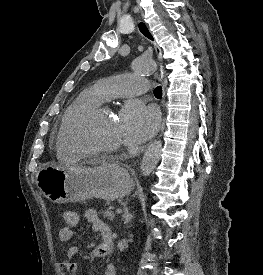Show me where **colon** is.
<instances>
[{"mask_svg":"<svg viewBox=\"0 0 263 275\" xmlns=\"http://www.w3.org/2000/svg\"><path fill=\"white\" fill-rule=\"evenodd\" d=\"M63 219L69 226H76L79 221L78 214L73 210H67L63 213Z\"/></svg>","mask_w":263,"mask_h":275,"instance_id":"obj_1","label":"colon"}]
</instances>
